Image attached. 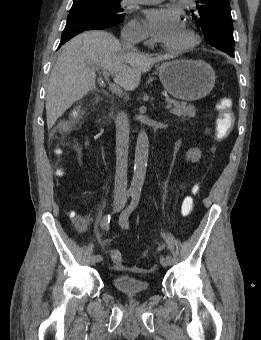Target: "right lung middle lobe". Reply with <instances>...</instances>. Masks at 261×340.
I'll list each match as a JSON object with an SVG mask.
<instances>
[{
	"mask_svg": "<svg viewBox=\"0 0 261 340\" xmlns=\"http://www.w3.org/2000/svg\"><path fill=\"white\" fill-rule=\"evenodd\" d=\"M121 0H90L74 2L70 12L84 11L97 15L102 20L117 25L123 21L124 9L120 6Z\"/></svg>",
	"mask_w": 261,
	"mask_h": 340,
	"instance_id": "dd1d6c3e",
	"label": "right lung middle lobe"
}]
</instances>
